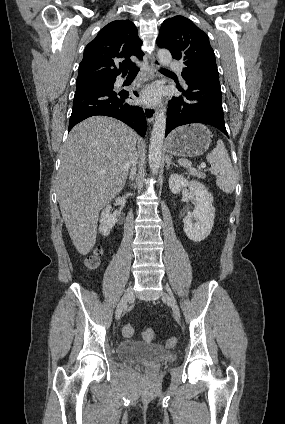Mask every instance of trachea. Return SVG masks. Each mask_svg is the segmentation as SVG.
I'll return each instance as SVG.
<instances>
[{
  "label": "trachea",
  "instance_id": "1",
  "mask_svg": "<svg viewBox=\"0 0 285 424\" xmlns=\"http://www.w3.org/2000/svg\"><path fill=\"white\" fill-rule=\"evenodd\" d=\"M124 67L129 69V74H137L139 72V68L135 64L125 65ZM161 72L172 73L171 71L166 70V69H162Z\"/></svg>",
  "mask_w": 285,
  "mask_h": 424
}]
</instances>
